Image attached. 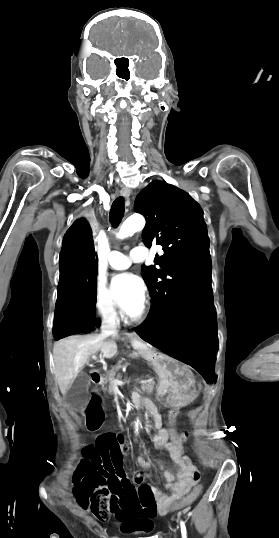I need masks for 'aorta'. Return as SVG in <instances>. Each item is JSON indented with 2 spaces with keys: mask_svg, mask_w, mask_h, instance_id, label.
I'll use <instances>...</instances> for the list:
<instances>
[{
  "mask_svg": "<svg viewBox=\"0 0 279 538\" xmlns=\"http://www.w3.org/2000/svg\"><path fill=\"white\" fill-rule=\"evenodd\" d=\"M144 226L145 219L141 215H132L123 222L117 237L124 239L132 236L135 232L142 230ZM136 428V431H138V423H136Z\"/></svg>",
  "mask_w": 279,
  "mask_h": 538,
  "instance_id": "obj_1",
  "label": "aorta"
}]
</instances>
